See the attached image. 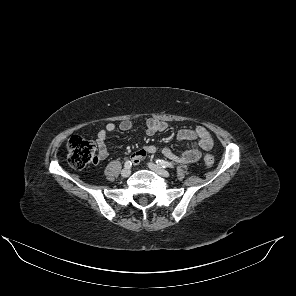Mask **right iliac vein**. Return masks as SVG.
I'll list each match as a JSON object with an SVG mask.
<instances>
[{"label": "right iliac vein", "mask_w": 296, "mask_h": 296, "mask_svg": "<svg viewBox=\"0 0 296 296\" xmlns=\"http://www.w3.org/2000/svg\"><path fill=\"white\" fill-rule=\"evenodd\" d=\"M130 174H131V170H130V168H124V169L121 171V175H122L123 177H128Z\"/></svg>", "instance_id": "1"}]
</instances>
